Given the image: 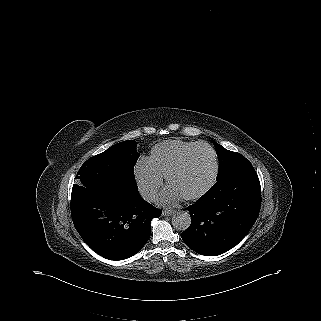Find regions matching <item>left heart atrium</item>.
I'll list each match as a JSON object with an SVG mask.
<instances>
[{"mask_svg": "<svg viewBox=\"0 0 321 321\" xmlns=\"http://www.w3.org/2000/svg\"><path fill=\"white\" fill-rule=\"evenodd\" d=\"M182 197V194L176 191L173 187L168 186V188L161 194L159 201L161 203L171 205L178 203Z\"/></svg>", "mask_w": 321, "mask_h": 321, "instance_id": "left-heart-atrium-1", "label": "left heart atrium"}]
</instances>
